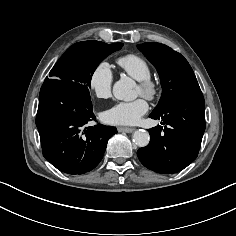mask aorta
<instances>
[{"mask_svg": "<svg viewBox=\"0 0 236 236\" xmlns=\"http://www.w3.org/2000/svg\"><path fill=\"white\" fill-rule=\"evenodd\" d=\"M135 82L129 77H122L113 85V95L118 100L132 101L136 99ZM133 141L139 147H145L149 144L150 135L145 130H136L133 133Z\"/></svg>", "mask_w": 236, "mask_h": 236, "instance_id": "obj_1", "label": "aorta"}]
</instances>
